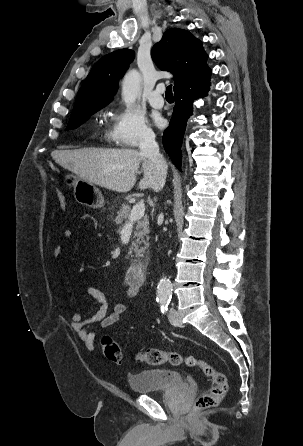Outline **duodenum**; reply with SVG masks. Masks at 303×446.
Segmentation results:
<instances>
[{
  "label": "duodenum",
  "mask_w": 303,
  "mask_h": 446,
  "mask_svg": "<svg viewBox=\"0 0 303 446\" xmlns=\"http://www.w3.org/2000/svg\"><path fill=\"white\" fill-rule=\"evenodd\" d=\"M146 263L144 260H137L132 263L127 271V281L131 285H141L145 279Z\"/></svg>",
  "instance_id": "1"
}]
</instances>
